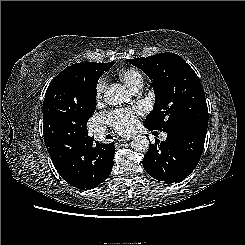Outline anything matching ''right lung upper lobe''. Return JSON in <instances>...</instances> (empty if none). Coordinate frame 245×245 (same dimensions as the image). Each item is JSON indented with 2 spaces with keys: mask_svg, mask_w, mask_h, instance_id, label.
<instances>
[{
  "mask_svg": "<svg viewBox=\"0 0 245 245\" xmlns=\"http://www.w3.org/2000/svg\"><path fill=\"white\" fill-rule=\"evenodd\" d=\"M109 68L110 62L76 63L57 75L48 86L43 103L44 141L80 135L90 109L88 76L92 70Z\"/></svg>",
  "mask_w": 245,
  "mask_h": 245,
  "instance_id": "cb5924a9",
  "label": "right lung upper lobe"
}]
</instances>
